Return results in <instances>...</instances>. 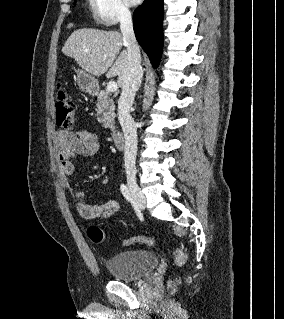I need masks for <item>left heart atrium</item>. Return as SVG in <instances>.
Wrapping results in <instances>:
<instances>
[{
    "label": "left heart atrium",
    "instance_id": "39dd6f15",
    "mask_svg": "<svg viewBox=\"0 0 284 319\" xmlns=\"http://www.w3.org/2000/svg\"><path fill=\"white\" fill-rule=\"evenodd\" d=\"M130 5H137L142 2V0H126Z\"/></svg>",
    "mask_w": 284,
    "mask_h": 319
}]
</instances>
